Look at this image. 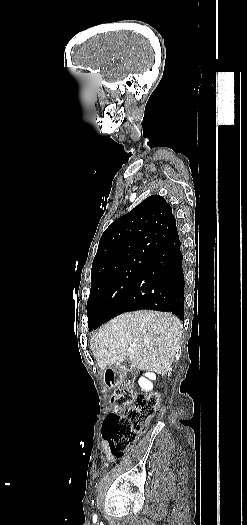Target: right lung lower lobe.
I'll return each mask as SVG.
<instances>
[{
	"instance_id": "right-lung-lower-lobe-1",
	"label": "right lung lower lobe",
	"mask_w": 247,
	"mask_h": 525,
	"mask_svg": "<svg viewBox=\"0 0 247 525\" xmlns=\"http://www.w3.org/2000/svg\"><path fill=\"white\" fill-rule=\"evenodd\" d=\"M182 260L181 242L177 232L147 256L143 271L119 304L116 315L138 309H151L172 312L182 318L184 308Z\"/></svg>"
}]
</instances>
